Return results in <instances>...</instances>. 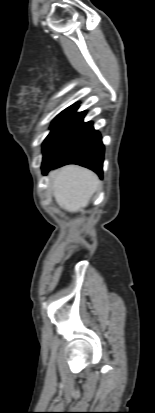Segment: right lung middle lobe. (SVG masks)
Returning a JSON list of instances; mask_svg holds the SVG:
<instances>
[{
  "label": "right lung middle lobe",
  "instance_id": "obj_1",
  "mask_svg": "<svg viewBox=\"0 0 155 413\" xmlns=\"http://www.w3.org/2000/svg\"><path fill=\"white\" fill-rule=\"evenodd\" d=\"M78 107L67 108L53 121L51 132L43 143V161L50 155L70 127Z\"/></svg>",
  "mask_w": 155,
  "mask_h": 413
}]
</instances>
